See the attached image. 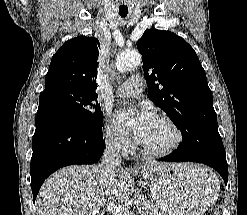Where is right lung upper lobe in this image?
I'll use <instances>...</instances> for the list:
<instances>
[{
  "instance_id": "1",
  "label": "right lung upper lobe",
  "mask_w": 247,
  "mask_h": 215,
  "mask_svg": "<svg viewBox=\"0 0 247 215\" xmlns=\"http://www.w3.org/2000/svg\"><path fill=\"white\" fill-rule=\"evenodd\" d=\"M100 43L93 37L66 41L53 55L46 75L45 90L67 88L97 95V66Z\"/></svg>"
}]
</instances>
